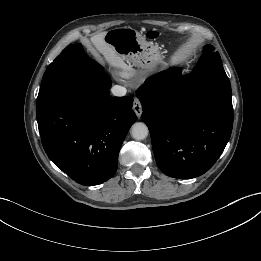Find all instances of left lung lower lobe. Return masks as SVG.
<instances>
[{
	"label": "left lung lower lobe",
	"instance_id": "0a47b994",
	"mask_svg": "<svg viewBox=\"0 0 261 261\" xmlns=\"http://www.w3.org/2000/svg\"><path fill=\"white\" fill-rule=\"evenodd\" d=\"M137 97L164 174L190 179L213 166L233 126L231 86L222 66L199 64L189 75L169 68L147 79Z\"/></svg>",
	"mask_w": 261,
	"mask_h": 261
}]
</instances>
